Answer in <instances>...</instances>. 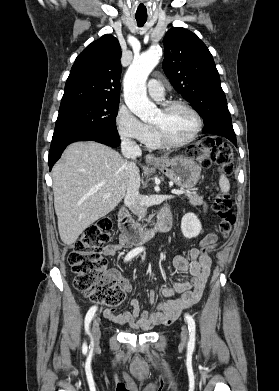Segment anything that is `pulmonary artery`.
<instances>
[{"label":"pulmonary artery","mask_w":279,"mask_h":391,"mask_svg":"<svg viewBox=\"0 0 279 391\" xmlns=\"http://www.w3.org/2000/svg\"><path fill=\"white\" fill-rule=\"evenodd\" d=\"M148 92L151 97L160 101L164 98V88L157 79H150L148 82Z\"/></svg>","instance_id":"e3ab8cb5"}]
</instances>
